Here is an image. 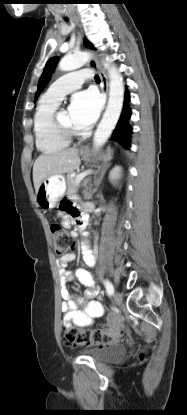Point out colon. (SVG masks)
I'll return each instance as SVG.
<instances>
[{
	"label": "colon",
	"mask_w": 187,
	"mask_h": 415,
	"mask_svg": "<svg viewBox=\"0 0 187 415\" xmlns=\"http://www.w3.org/2000/svg\"><path fill=\"white\" fill-rule=\"evenodd\" d=\"M51 234L54 241L56 255L63 256L73 247L72 237L60 224L51 225ZM124 337L122 330H81L71 329L66 333L65 341L68 345H103Z\"/></svg>",
	"instance_id": "colon-1"
}]
</instances>
